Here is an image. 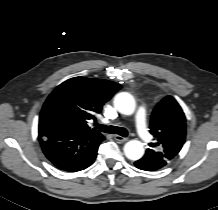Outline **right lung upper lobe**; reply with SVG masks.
I'll return each instance as SVG.
<instances>
[{
  "mask_svg": "<svg viewBox=\"0 0 218 210\" xmlns=\"http://www.w3.org/2000/svg\"><path fill=\"white\" fill-rule=\"evenodd\" d=\"M121 85L102 79L74 77L49 95L44 105L60 109L66 117V130L77 133L101 134L88 126L90 119L100 113L102 106Z\"/></svg>",
  "mask_w": 218,
  "mask_h": 210,
  "instance_id": "right-lung-upper-lobe-1",
  "label": "right lung upper lobe"
}]
</instances>
